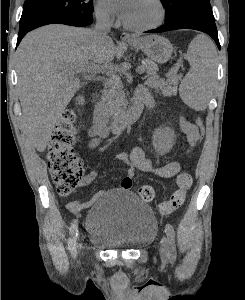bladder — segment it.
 <instances>
[{
	"mask_svg": "<svg viewBox=\"0 0 245 300\" xmlns=\"http://www.w3.org/2000/svg\"><path fill=\"white\" fill-rule=\"evenodd\" d=\"M85 229L90 243L102 248L138 249L150 244L158 232L151 209L133 192H104L88 210Z\"/></svg>",
	"mask_w": 245,
	"mask_h": 300,
	"instance_id": "obj_1",
	"label": "bladder"
}]
</instances>
